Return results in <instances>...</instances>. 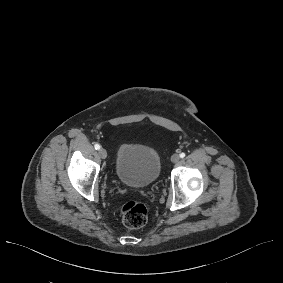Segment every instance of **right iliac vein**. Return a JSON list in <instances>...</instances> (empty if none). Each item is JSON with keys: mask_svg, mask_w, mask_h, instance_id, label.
Listing matches in <instances>:
<instances>
[{"mask_svg": "<svg viewBox=\"0 0 283 283\" xmlns=\"http://www.w3.org/2000/svg\"><path fill=\"white\" fill-rule=\"evenodd\" d=\"M99 154L101 156L102 159H106L107 158V152L104 148H100L99 149Z\"/></svg>", "mask_w": 283, "mask_h": 283, "instance_id": "right-iliac-vein-1", "label": "right iliac vein"}]
</instances>
